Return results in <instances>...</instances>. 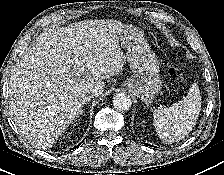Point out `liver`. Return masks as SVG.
Listing matches in <instances>:
<instances>
[{
    "label": "liver",
    "instance_id": "1",
    "mask_svg": "<svg viewBox=\"0 0 224 175\" xmlns=\"http://www.w3.org/2000/svg\"><path fill=\"white\" fill-rule=\"evenodd\" d=\"M125 27L116 20H84L39 34L10 77V112L25 139L50 148L80 113L81 94L95 90L100 96L103 80L123 71L119 39Z\"/></svg>",
    "mask_w": 224,
    "mask_h": 175
}]
</instances>
